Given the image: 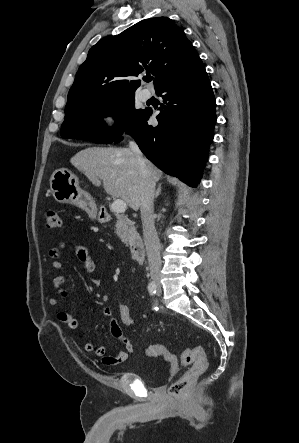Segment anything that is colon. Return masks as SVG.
I'll return each instance as SVG.
<instances>
[{"label": "colon", "mask_w": 299, "mask_h": 443, "mask_svg": "<svg viewBox=\"0 0 299 443\" xmlns=\"http://www.w3.org/2000/svg\"><path fill=\"white\" fill-rule=\"evenodd\" d=\"M46 227L50 229L59 228L61 219L57 211L48 210L45 214ZM119 321L123 328L131 333L138 329V322L132 310L127 306H122L119 310ZM144 353L149 357H160L171 367L173 372L179 368L177 357L171 354L163 345L149 344L143 347ZM180 362L182 365L191 367L169 387V394L178 397L207 369V358L202 347L186 349L182 352Z\"/></svg>", "instance_id": "colon-1"}]
</instances>
